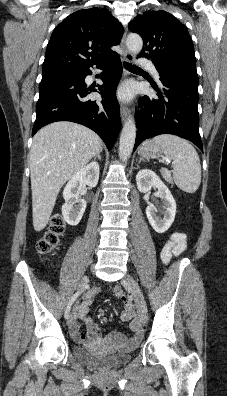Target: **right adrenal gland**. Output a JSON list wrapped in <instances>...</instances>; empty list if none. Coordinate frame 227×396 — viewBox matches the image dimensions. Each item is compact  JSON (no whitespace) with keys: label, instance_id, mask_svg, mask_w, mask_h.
<instances>
[{"label":"right adrenal gland","instance_id":"right-adrenal-gland-1","mask_svg":"<svg viewBox=\"0 0 227 396\" xmlns=\"http://www.w3.org/2000/svg\"><path fill=\"white\" fill-rule=\"evenodd\" d=\"M96 158H98L99 161L101 160L100 152L95 155V159Z\"/></svg>","mask_w":227,"mask_h":396}]
</instances>
